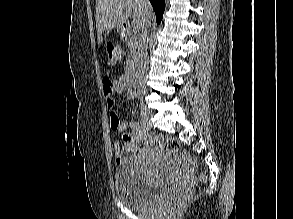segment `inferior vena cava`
Segmentation results:
<instances>
[{"label":"inferior vena cava","mask_w":293,"mask_h":219,"mask_svg":"<svg viewBox=\"0 0 293 219\" xmlns=\"http://www.w3.org/2000/svg\"><path fill=\"white\" fill-rule=\"evenodd\" d=\"M145 6L150 7L149 0H145ZM148 25L142 32L141 42H140V54H139V65L137 68L136 75L138 78L142 79L146 72L148 71L149 60L147 57V48H148Z\"/></svg>","instance_id":"602c4592"}]
</instances>
